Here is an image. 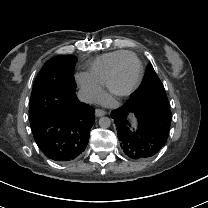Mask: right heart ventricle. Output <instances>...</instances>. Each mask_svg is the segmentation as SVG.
I'll return each mask as SVG.
<instances>
[{
	"label": "right heart ventricle",
	"mask_w": 208,
	"mask_h": 208,
	"mask_svg": "<svg viewBox=\"0 0 208 208\" xmlns=\"http://www.w3.org/2000/svg\"><path fill=\"white\" fill-rule=\"evenodd\" d=\"M133 54L128 50H117L103 54L93 60L88 75L99 87L108 88L109 79L117 63Z\"/></svg>",
	"instance_id": "1"
}]
</instances>
